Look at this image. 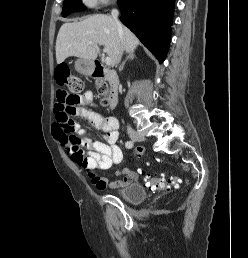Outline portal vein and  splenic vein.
Listing matches in <instances>:
<instances>
[{"instance_id":"portal-vein-and-splenic-vein-1","label":"portal vein and splenic vein","mask_w":248,"mask_h":258,"mask_svg":"<svg viewBox=\"0 0 248 258\" xmlns=\"http://www.w3.org/2000/svg\"><path fill=\"white\" fill-rule=\"evenodd\" d=\"M105 51V50H104ZM105 63H106V65H111V63H112V60H111V58L110 57H106L105 58Z\"/></svg>"}]
</instances>
